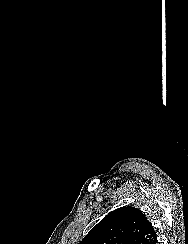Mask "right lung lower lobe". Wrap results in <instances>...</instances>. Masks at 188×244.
Instances as JSON below:
<instances>
[{"label": "right lung lower lobe", "instance_id": "1", "mask_svg": "<svg viewBox=\"0 0 188 244\" xmlns=\"http://www.w3.org/2000/svg\"><path fill=\"white\" fill-rule=\"evenodd\" d=\"M151 244H157V238Z\"/></svg>", "mask_w": 188, "mask_h": 244}]
</instances>
